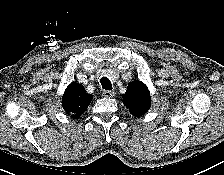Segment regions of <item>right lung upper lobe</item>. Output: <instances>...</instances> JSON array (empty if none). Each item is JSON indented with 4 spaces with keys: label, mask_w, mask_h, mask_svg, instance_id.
I'll use <instances>...</instances> for the list:
<instances>
[{
    "label": "right lung upper lobe",
    "mask_w": 224,
    "mask_h": 175,
    "mask_svg": "<svg viewBox=\"0 0 224 175\" xmlns=\"http://www.w3.org/2000/svg\"><path fill=\"white\" fill-rule=\"evenodd\" d=\"M92 100V95L88 94L83 86L77 83H71L62 98V104L65 112L73 114L77 119L88 108Z\"/></svg>",
    "instance_id": "right-lung-upper-lobe-1"
}]
</instances>
